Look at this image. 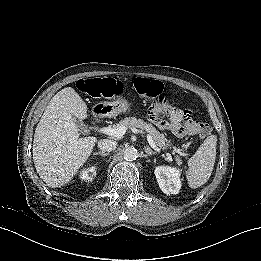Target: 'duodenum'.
Segmentation results:
<instances>
[{"instance_id":"1","label":"duodenum","mask_w":261,"mask_h":261,"mask_svg":"<svg viewBox=\"0 0 261 261\" xmlns=\"http://www.w3.org/2000/svg\"><path fill=\"white\" fill-rule=\"evenodd\" d=\"M106 115V112L103 110H95L93 112V121H101Z\"/></svg>"}]
</instances>
